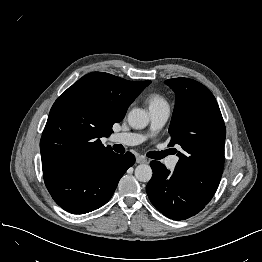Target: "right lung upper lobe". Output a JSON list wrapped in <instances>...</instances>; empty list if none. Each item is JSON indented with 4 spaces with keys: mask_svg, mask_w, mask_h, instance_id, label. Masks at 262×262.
I'll list each match as a JSON object with an SVG mask.
<instances>
[{
    "mask_svg": "<svg viewBox=\"0 0 262 262\" xmlns=\"http://www.w3.org/2000/svg\"><path fill=\"white\" fill-rule=\"evenodd\" d=\"M151 81H128L104 72L83 76L53 104L40 151L43 165L96 159L113 152L109 136L127 108Z\"/></svg>",
    "mask_w": 262,
    "mask_h": 262,
    "instance_id": "obj_1",
    "label": "right lung upper lobe"
}]
</instances>
